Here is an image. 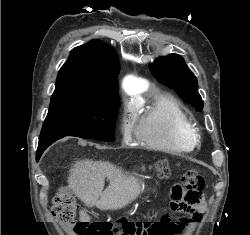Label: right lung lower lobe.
I'll list each match as a JSON object with an SVG mask.
<instances>
[{
	"label": "right lung lower lobe",
	"mask_w": 250,
	"mask_h": 235,
	"mask_svg": "<svg viewBox=\"0 0 250 235\" xmlns=\"http://www.w3.org/2000/svg\"><path fill=\"white\" fill-rule=\"evenodd\" d=\"M63 138V136H51L47 137L45 139H39L38 149H37V155L36 160L38 161L44 150L50 146L52 143L57 141L58 139Z\"/></svg>",
	"instance_id": "1"
}]
</instances>
